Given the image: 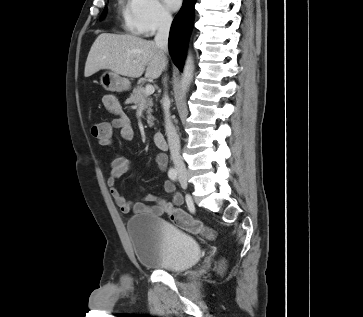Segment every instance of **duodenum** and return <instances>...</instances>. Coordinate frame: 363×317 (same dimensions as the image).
<instances>
[{"label":"duodenum","instance_id":"duodenum-1","mask_svg":"<svg viewBox=\"0 0 363 317\" xmlns=\"http://www.w3.org/2000/svg\"><path fill=\"white\" fill-rule=\"evenodd\" d=\"M153 142L157 148L165 149L167 147L166 139L161 132H155L153 134Z\"/></svg>","mask_w":363,"mask_h":317}]
</instances>
